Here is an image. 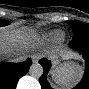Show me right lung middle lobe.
<instances>
[{
	"instance_id": "right-lung-middle-lobe-1",
	"label": "right lung middle lobe",
	"mask_w": 89,
	"mask_h": 89,
	"mask_svg": "<svg viewBox=\"0 0 89 89\" xmlns=\"http://www.w3.org/2000/svg\"><path fill=\"white\" fill-rule=\"evenodd\" d=\"M8 22H6L5 20H0V26H3V25H7Z\"/></svg>"
}]
</instances>
